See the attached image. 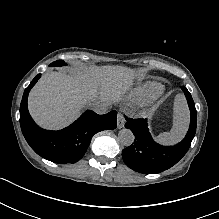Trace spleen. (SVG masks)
Wrapping results in <instances>:
<instances>
[{
	"label": "spleen",
	"instance_id": "3e777b00",
	"mask_svg": "<svg viewBox=\"0 0 219 219\" xmlns=\"http://www.w3.org/2000/svg\"><path fill=\"white\" fill-rule=\"evenodd\" d=\"M190 126V110L184 93H177L173 102L172 129L169 133H161L154 142L161 146H175L186 136Z\"/></svg>",
	"mask_w": 219,
	"mask_h": 219
}]
</instances>
